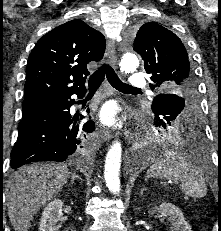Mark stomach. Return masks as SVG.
<instances>
[{"mask_svg": "<svg viewBox=\"0 0 221 231\" xmlns=\"http://www.w3.org/2000/svg\"><path fill=\"white\" fill-rule=\"evenodd\" d=\"M172 128V127H171ZM170 130H176V129H168V131H170Z\"/></svg>", "mask_w": 221, "mask_h": 231, "instance_id": "stomach-1", "label": "stomach"}]
</instances>
